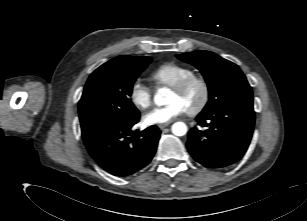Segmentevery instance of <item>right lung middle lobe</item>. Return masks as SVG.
<instances>
[{
    "mask_svg": "<svg viewBox=\"0 0 307 221\" xmlns=\"http://www.w3.org/2000/svg\"><path fill=\"white\" fill-rule=\"evenodd\" d=\"M152 61H136L100 66L88 78L79 101L82 137L113 124L133 120L140 115L131 102L133 83Z\"/></svg>",
    "mask_w": 307,
    "mask_h": 221,
    "instance_id": "obj_1",
    "label": "right lung middle lobe"
}]
</instances>
